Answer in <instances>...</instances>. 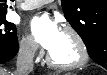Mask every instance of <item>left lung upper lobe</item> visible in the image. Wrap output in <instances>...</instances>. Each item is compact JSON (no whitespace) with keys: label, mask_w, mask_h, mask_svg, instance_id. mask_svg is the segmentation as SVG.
<instances>
[{"label":"left lung upper lobe","mask_w":107,"mask_h":75,"mask_svg":"<svg viewBox=\"0 0 107 75\" xmlns=\"http://www.w3.org/2000/svg\"><path fill=\"white\" fill-rule=\"evenodd\" d=\"M65 18L91 55L107 46V0H61ZM107 64V62H106Z\"/></svg>","instance_id":"5c2ea615"}]
</instances>
